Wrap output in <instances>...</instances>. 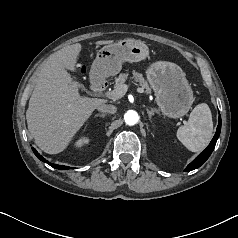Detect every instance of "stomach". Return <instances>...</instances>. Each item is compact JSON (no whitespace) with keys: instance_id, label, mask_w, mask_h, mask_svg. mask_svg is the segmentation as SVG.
I'll return each mask as SVG.
<instances>
[{"instance_id":"1","label":"stomach","mask_w":238,"mask_h":238,"mask_svg":"<svg viewBox=\"0 0 238 238\" xmlns=\"http://www.w3.org/2000/svg\"><path fill=\"white\" fill-rule=\"evenodd\" d=\"M148 54L147 45L140 40L124 39L106 45L98 51L90 74L98 79L115 76L121 71L123 62H139ZM146 74L164 115L180 118L188 113L194 102L193 91L178 65L157 61L150 65Z\"/></svg>"}]
</instances>
